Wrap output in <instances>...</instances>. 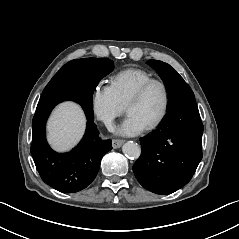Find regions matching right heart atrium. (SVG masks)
I'll return each mask as SVG.
<instances>
[{"label":"right heart atrium","mask_w":239,"mask_h":239,"mask_svg":"<svg viewBox=\"0 0 239 239\" xmlns=\"http://www.w3.org/2000/svg\"><path fill=\"white\" fill-rule=\"evenodd\" d=\"M90 104L95 117L103 121L108 127H111L116 117L125 110V105L119 100L110 84H95L91 90Z\"/></svg>","instance_id":"1"}]
</instances>
